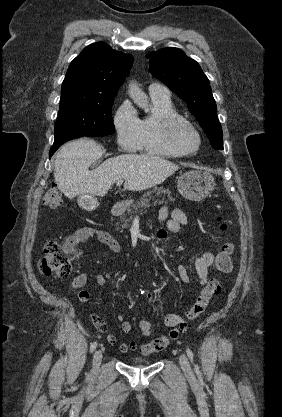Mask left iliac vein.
<instances>
[{"label": "left iliac vein", "mask_w": 282, "mask_h": 417, "mask_svg": "<svg viewBox=\"0 0 282 417\" xmlns=\"http://www.w3.org/2000/svg\"><path fill=\"white\" fill-rule=\"evenodd\" d=\"M179 363H180V366H181L182 370L184 371V373L187 374V375H191L192 369H191L189 360H188V358L185 354L180 355Z\"/></svg>", "instance_id": "obj_1"}]
</instances>
